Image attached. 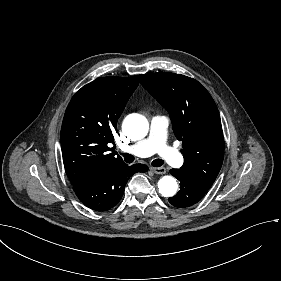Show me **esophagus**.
Returning a JSON list of instances; mask_svg holds the SVG:
<instances>
[{
  "label": "esophagus",
  "mask_w": 281,
  "mask_h": 281,
  "mask_svg": "<svg viewBox=\"0 0 281 281\" xmlns=\"http://www.w3.org/2000/svg\"><path fill=\"white\" fill-rule=\"evenodd\" d=\"M151 170L155 174H165L166 173V168L165 167H153V168H151Z\"/></svg>",
  "instance_id": "obj_1"
}]
</instances>
